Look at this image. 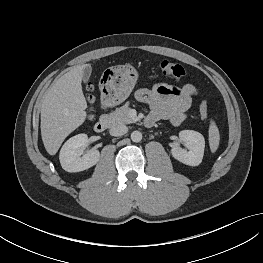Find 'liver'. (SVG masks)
I'll return each mask as SVG.
<instances>
[{
  "label": "liver",
  "mask_w": 263,
  "mask_h": 263,
  "mask_svg": "<svg viewBox=\"0 0 263 263\" xmlns=\"http://www.w3.org/2000/svg\"><path fill=\"white\" fill-rule=\"evenodd\" d=\"M90 64L70 68L55 79L45 92L41 105V136L44 147L55 155L65 138L86 119L87 102L81 81L83 69Z\"/></svg>",
  "instance_id": "6515ba94"
}]
</instances>
